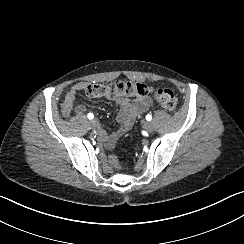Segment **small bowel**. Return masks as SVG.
I'll return each mask as SVG.
<instances>
[{"label":"small bowel","mask_w":244,"mask_h":244,"mask_svg":"<svg viewBox=\"0 0 244 244\" xmlns=\"http://www.w3.org/2000/svg\"><path fill=\"white\" fill-rule=\"evenodd\" d=\"M84 88V82L75 83L70 88V90L66 93L63 101V107L66 110H75V112L79 115H82L86 112L85 105L75 104L77 95ZM115 103L120 109L117 117L118 122L120 123V127L108 137L109 142L113 141L114 138L125 134L132 127L135 119L150 108L152 105V100L147 97L134 100L126 97H117L115 98Z\"/></svg>","instance_id":"obj_1"}]
</instances>
